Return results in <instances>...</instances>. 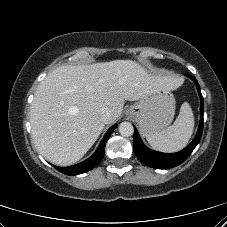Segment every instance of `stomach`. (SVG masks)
<instances>
[{
  "instance_id": "0dacf381",
  "label": "stomach",
  "mask_w": 227,
  "mask_h": 227,
  "mask_svg": "<svg viewBox=\"0 0 227 227\" xmlns=\"http://www.w3.org/2000/svg\"><path fill=\"white\" fill-rule=\"evenodd\" d=\"M175 99L170 91H152L128 108V113L138 123L143 136L167 128L174 117Z\"/></svg>"
}]
</instances>
